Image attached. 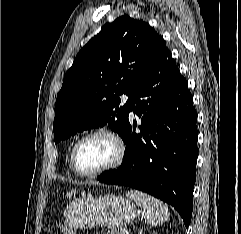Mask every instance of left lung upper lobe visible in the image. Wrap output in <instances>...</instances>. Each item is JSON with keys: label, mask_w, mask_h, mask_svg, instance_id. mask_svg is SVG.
<instances>
[{"label": "left lung upper lobe", "mask_w": 241, "mask_h": 234, "mask_svg": "<svg viewBox=\"0 0 241 234\" xmlns=\"http://www.w3.org/2000/svg\"><path fill=\"white\" fill-rule=\"evenodd\" d=\"M165 48L162 36L142 20L123 15L105 24L64 77L55 105V143L105 124L124 140L133 95ZM123 94L128 100L120 106Z\"/></svg>", "instance_id": "5c2ea615"}]
</instances>
